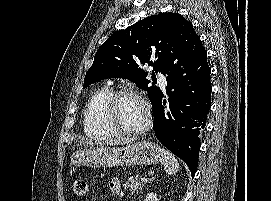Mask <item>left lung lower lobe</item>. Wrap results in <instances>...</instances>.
<instances>
[{
  "mask_svg": "<svg viewBox=\"0 0 271 201\" xmlns=\"http://www.w3.org/2000/svg\"><path fill=\"white\" fill-rule=\"evenodd\" d=\"M210 72L199 36L178 39L166 72L169 99L161 94L153 108L156 137L186 162L192 177L198 165L199 135L211 108Z\"/></svg>",
  "mask_w": 271,
  "mask_h": 201,
  "instance_id": "1",
  "label": "left lung lower lobe"
}]
</instances>
